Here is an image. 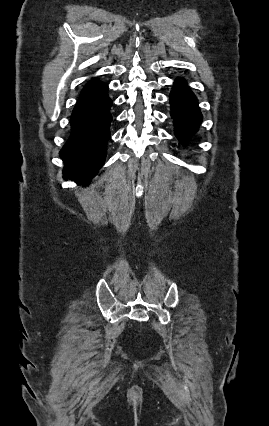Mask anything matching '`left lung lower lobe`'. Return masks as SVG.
I'll use <instances>...</instances> for the list:
<instances>
[{
	"mask_svg": "<svg viewBox=\"0 0 269 426\" xmlns=\"http://www.w3.org/2000/svg\"><path fill=\"white\" fill-rule=\"evenodd\" d=\"M169 99L176 137L185 143L202 121L197 99L181 78L175 81Z\"/></svg>",
	"mask_w": 269,
	"mask_h": 426,
	"instance_id": "0a47b994",
	"label": "left lung lower lobe"
}]
</instances>
